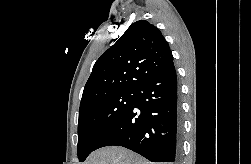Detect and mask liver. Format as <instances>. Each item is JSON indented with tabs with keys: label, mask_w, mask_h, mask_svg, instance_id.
<instances>
[{
	"label": "liver",
	"mask_w": 251,
	"mask_h": 164,
	"mask_svg": "<svg viewBox=\"0 0 251 164\" xmlns=\"http://www.w3.org/2000/svg\"><path fill=\"white\" fill-rule=\"evenodd\" d=\"M84 164H151L123 147L110 146L91 153Z\"/></svg>",
	"instance_id": "liver-1"
}]
</instances>
